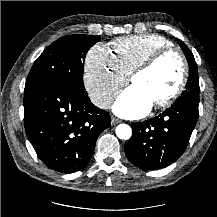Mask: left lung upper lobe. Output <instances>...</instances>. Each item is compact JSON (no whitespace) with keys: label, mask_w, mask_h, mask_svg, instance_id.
I'll use <instances>...</instances> for the list:
<instances>
[{"label":"left lung upper lobe","mask_w":217,"mask_h":217,"mask_svg":"<svg viewBox=\"0 0 217 217\" xmlns=\"http://www.w3.org/2000/svg\"><path fill=\"white\" fill-rule=\"evenodd\" d=\"M179 45L182 48L186 56V59L189 63V79L185 86L186 89L182 92L181 97L178 99V101L186 99V100H190L194 102H199L200 87H199V82H198L197 64L195 62L192 52L185 45V43L179 40Z\"/></svg>","instance_id":"left-lung-upper-lobe-1"}]
</instances>
